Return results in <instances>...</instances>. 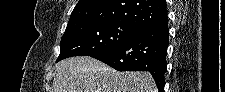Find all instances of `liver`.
Listing matches in <instances>:
<instances>
[{
	"label": "liver",
	"instance_id": "liver-1",
	"mask_svg": "<svg viewBox=\"0 0 225 92\" xmlns=\"http://www.w3.org/2000/svg\"><path fill=\"white\" fill-rule=\"evenodd\" d=\"M53 92H157L149 72H119L88 56L56 65Z\"/></svg>",
	"mask_w": 225,
	"mask_h": 92
}]
</instances>
